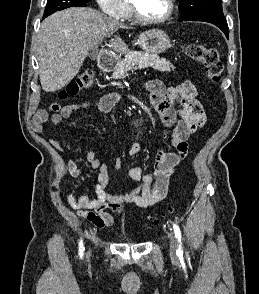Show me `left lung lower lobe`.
<instances>
[{
    "instance_id": "left-lung-lower-lobe-1",
    "label": "left lung lower lobe",
    "mask_w": 259,
    "mask_h": 294,
    "mask_svg": "<svg viewBox=\"0 0 259 294\" xmlns=\"http://www.w3.org/2000/svg\"><path fill=\"white\" fill-rule=\"evenodd\" d=\"M179 21H205L212 23L219 27L225 34V36L229 37V28L225 18H209V17H196L191 19H179Z\"/></svg>"
}]
</instances>
